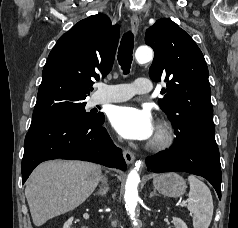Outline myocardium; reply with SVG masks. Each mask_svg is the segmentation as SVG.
<instances>
[{"label":"myocardium","mask_w":238,"mask_h":228,"mask_svg":"<svg viewBox=\"0 0 238 228\" xmlns=\"http://www.w3.org/2000/svg\"><path fill=\"white\" fill-rule=\"evenodd\" d=\"M174 141L171 127L167 123H160L157 126L154 137L148 143L147 148L152 151H162L169 148Z\"/></svg>","instance_id":"1"}]
</instances>
